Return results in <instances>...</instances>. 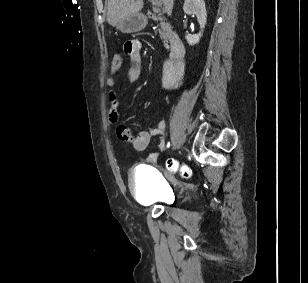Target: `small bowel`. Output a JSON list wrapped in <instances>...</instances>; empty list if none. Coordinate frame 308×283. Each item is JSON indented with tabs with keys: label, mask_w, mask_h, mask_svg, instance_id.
Wrapping results in <instances>:
<instances>
[{
	"label": "small bowel",
	"mask_w": 308,
	"mask_h": 283,
	"mask_svg": "<svg viewBox=\"0 0 308 283\" xmlns=\"http://www.w3.org/2000/svg\"><path fill=\"white\" fill-rule=\"evenodd\" d=\"M141 43L138 40H129L124 44V52L130 57L133 65L128 71V79L130 82H136L141 76ZM183 76L182 66L174 67L171 63H167L162 73V87L164 90H177L181 86V80ZM106 85L110 89L109 98V111L108 121L111 124H118L119 122V100L118 95L114 88L117 85V79L115 76H111L106 80ZM166 124L163 120L151 125L147 130L139 131L137 133L124 124H118L116 128L117 136L120 140L130 143L136 151H144L152 137L159 136L161 140L159 142V150H163L166 147L163 135L165 133ZM156 153H152L149 161H155Z\"/></svg>",
	"instance_id": "small-bowel-1"
}]
</instances>
